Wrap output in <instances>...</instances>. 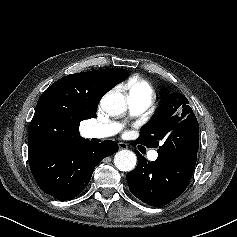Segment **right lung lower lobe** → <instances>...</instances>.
I'll return each instance as SVG.
<instances>
[{"mask_svg": "<svg viewBox=\"0 0 237 237\" xmlns=\"http://www.w3.org/2000/svg\"><path fill=\"white\" fill-rule=\"evenodd\" d=\"M117 150L114 141L94 144L79 138L30 154L29 165L45 193L60 201L70 200L85 189L96 165Z\"/></svg>", "mask_w": 237, "mask_h": 237, "instance_id": "98d812e1", "label": "right lung lower lobe"}]
</instances>
